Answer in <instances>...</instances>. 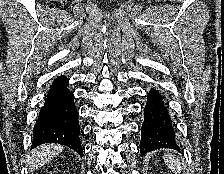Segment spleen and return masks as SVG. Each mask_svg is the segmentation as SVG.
I'll return each mask as SVG.
<instances>
[{
    "label": "spleen",
    "mask_w": 224,
    "mask_h": 174,
    "mask_svg": "<svg viewBox=\"0 0 224 174\" xmlns=\"http://www.w3.org/2000/svg\"><path fill=\"white\" fill-rule=\"evenodd\" d=\"M164 161L166 165L175 173H180L181 167L178 158H175L172 155L165 154Z\"/></svg>",
    "instance_id": "spleen-1"
}]
</instances>
